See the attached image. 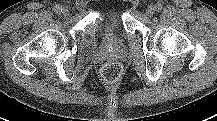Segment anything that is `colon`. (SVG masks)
Returning a JSON list of instances; mask_svg holds the SVG:
<instances>
[{"label":"colon","mask_w":217,"mask_h":121,"mask_svg":"<svg viewBox=\"0 0 217 121\" xmlns=\"http://www.w3.org/2000/svg\"><path fill=\"white\" fill-rule=\"evenodd\" d=\"M100 74L106 83H115L122 77L123 68L118 62H107L102 65Z\"/></svg>","instance_id":"1"}]
</instances>
